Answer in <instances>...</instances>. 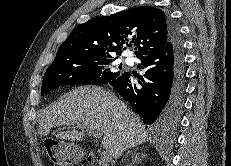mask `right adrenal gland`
I'll use <instances>...</instances> for the list:
<instances>
[{
  "instance_id": "right-adrenal-gland-1",
  "label": "right adrenal gland",
  "mask_w": 231,
  "mask_h": 166,
  "mask_svg": "<svg viewBox=\"0 0 231 166\" xmlns=\"http://www.w3.org/2000/svg\"><path fill=\"white\" fill-rule=\"evenodd\" d=\"M146 154L138 153V148L134 151V155L132 157V161L128 166H136V164L141 162V158H144Z\"/></svg>"
}]
</instances>
